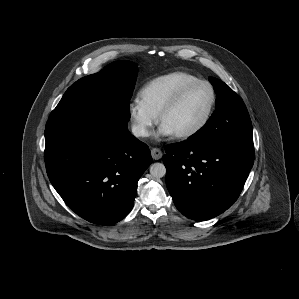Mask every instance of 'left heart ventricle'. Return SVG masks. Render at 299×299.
Listing matches in <instances>:
<instances>
[{
	"instance_id": "obj_1",
	"label": "left heart ventricle",
	"mask_w": 299,
	"mask_h": 299,
	"mask_svg": "<svg viewBox=\"0 0 299 299\" xmlns=\"http://www.w3.org/2000/svg\"><path fill=\"white\" fill-rule=\"evenodd\" d=\"M210 91L205 85H197L190 89L180 103L162 120V125L170 129L174 135L188 131L203 119L209 103Z\"/></svg>"
}]
</instances>
